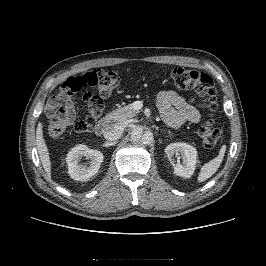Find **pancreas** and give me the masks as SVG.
I'll return each mask as SVG.
<instances>
[{"label":"pancreas","instance_id":"obj_1","mask_svg":"<svg viewBox=\"0 0 266 266\" xmlns=\"http://www.w3.org/2000/svg\"><path fill=\"white\" fill-rule=\"evenodd\" d=\"M136 114H138V111L133 108L132 104H128L127 106L118 108L108 113L105 119L112 122H124L130 118H133L136 116Z\"/></svg>","mask_w":266,"mask_h":266}]
</instances>
